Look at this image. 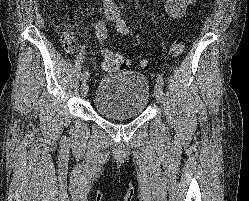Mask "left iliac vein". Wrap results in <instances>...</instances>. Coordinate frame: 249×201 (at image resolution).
Returning a JSON list of instances; mask_svg holds the SVG:
<instances>
[{
	"mask_svg": "<svg viewBox=\"0 0 249 201\" xmlns=\"http://www.w3.org/2000/svg\"><path fill=\"white\" fill-rule=\"evenodd\" d=\"M114 18L116 19V21L118 22L120 20L119 18V13L115 12L114 13ZM154 94H155V98L156 100L161 103L163 101V87L160 83H156L155 88H154Z\"/></svg>",
	"mask_w": 249,
	"mask_h": 201,
	"instance_id": "1",
	"label": "left iliac vein"
}]
</instances>
